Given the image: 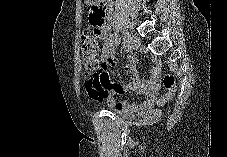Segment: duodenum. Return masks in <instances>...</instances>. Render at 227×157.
<instances>
[{
	"label": "duodenum",
	"mask_w": 227,
	"mask_h": 157,
	"mask_svg": "<svg viewBox=\"0 0 227 157\" xmlns=\"http://www.w3.org/2000/svg\"><path fill=\"white\" fill-rule=\"evenodd\" d=\"M110 5V0H101L99 4H93V9H99V16H91V25H97L101 32L108 31V23L105 13Z\"/></svg>",
	"instance_id": "duodenum-1"
}]
</instances>
